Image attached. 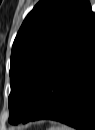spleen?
<instances>
[{
  "label": "spleen",
  "mask_w": 95,
  "mask_h": 130,
  "mask_svg": "<svg viewBox=\"0 0 95 130\" xmlns=\"http://www.w3.org/2000/svg\"><path fill=\"white\" fill-rule=\"evenodd\" d=\"M49 130H72L69 126L66 125H59V126H52Z\"/></svg>",
  "instance_id": "spleen-1"
}]
</instances>
